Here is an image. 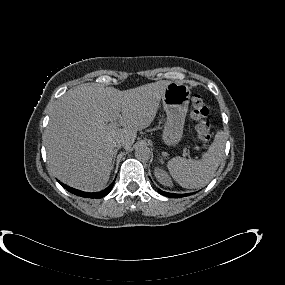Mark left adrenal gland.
<instances>
[{
    "label": "left adrenal gland",
    "instance_id": "a2214340",
    "mask_svg": "<svg viewBox=\"0 0 285 285\" xmlns=\"http://www.w3.org/2000/svg\"><path fill=\"white\" fill-rule=\"evenodd\" d=\"M159 157H160V158H162V156H161V155H160ZM161 161H162V159H161Z\"/></svg>",
    "mask_w": 285,
    "mask_h": 285
}]
</instances>
